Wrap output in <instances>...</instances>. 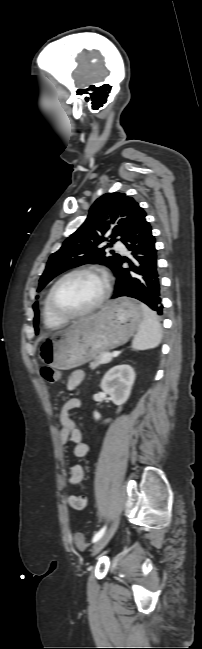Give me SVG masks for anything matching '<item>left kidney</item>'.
Returning <instances> with one entry per match:
<instances>
[{
  "label": "left kidney",
  "instance_id": "5707ae66",
  "mask_svg": "<svg viewBox=\"0 0 202 649\" xmlns=\"http://www.w3.org/2000/svg\"><path fill=\"white\" fill-rule=\"evenodd\" d=\"M134 381L135 372L129 365L115 366L103 377L100 387L106 394L110 395V399L114 404L119 406L118 412L122 410L121 406L129 398ZM94 418L100 420L101 415L94 412ZM109 421L106 420V422Z\"/></svg>",
  "mask_w": 202,
  "mask_h": 649
}]
</instances>
